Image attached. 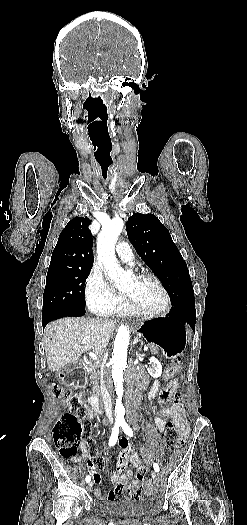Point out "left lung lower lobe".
I'll use <instances>...</instances> for the list:
<instances>
[{
	"label": "left lung lower lobe",
	"mask_w": 247,
	"mask_h": 525,
	"mask_svg": "<svg viewBox=\"0 0 247 525\" xmlns=\"http://www.w3.org/2000/svg\"><path fill=\"white\" fill-rule=\"evenodd\" d=\"M168 315V320L176 322L183 321L188 323L193 329L195 328V302H185L173 305V308Z\"/></svg>",
	"instance_id": "left-lung-lower-lobe-1"
}]
</instances>
